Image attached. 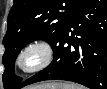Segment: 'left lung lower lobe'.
<instances>
[{
  "label": "left lung lower lobe",
  "instance_id": "left-lung-lower-lobe-1",
  "mask_svg": "<svg viewBox=\"0 0 107 89\" xmlns=\"http://www.w3.org/2000/svg\"><path fill=\"white\" fill-rule=\"evenodd\" d=\"M54 59L16 89L45 80H67L90 89L107 87V0H83L51 44Z\"/></svg>",
  "mask_w": 107,
  "mask_h": 89
}]
</instances>
